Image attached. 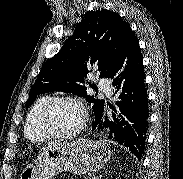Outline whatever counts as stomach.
<instances>
[{"label":"stomach","instance_id":"obj_1","mask_svg":"<svg viewBox=\"0 0 183 179\" xmlns=\"http://www.w3.org/2000/svg\"><path fill=\"white\" fill-rule=\"evenodd\" d=\"M110 156L105 141L78 139L67 143L55 140L41 148L37 159L23 169L20 179H53L62 171L76 175L99 171Z\"/></svg>","mask_w":183,"mask_h":179}]
</instances>
